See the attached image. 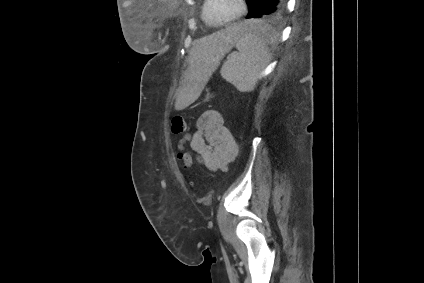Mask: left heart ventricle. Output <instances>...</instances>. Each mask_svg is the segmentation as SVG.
I'll use <instances>...</instances> for the list:
<instances>
[{
  "instance_id": "obj_1",
  "label": "left heart ventricle",
  "mask_w": 424,
  "mask_h": 283,
  "mask_svg": "<svg viewBox=\"0 0 424 283\" xmlns=\"http://www.w3.org/2000/svg\"><path fill=\"white\" fill-rule=\"evenodd\" d=\"M238 9V0H211L208 18L212 22L220 21L235 15Z\"/></svg>"
}]
</instances>
